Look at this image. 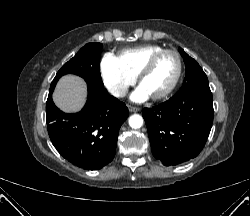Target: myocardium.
I'll use <instances>...</instances> for the list:
<instances>
[{
  "instance_id": "myocardium-1",
  "label": "myocardium",
  "mask_w": 250,
  "mask_h": 216,
  "mask_svg": "<svg viewBox=\"0 0 250 216\" xmlns=\"http://www.w3.org/2000/svg\"><path fill=\"white\" fill-rule=\"evenodd\" d=\"M164 54H172L175 56L176 61H177V71H176V74H175L171 84L168 86V88L165 89L162 93L155 95V96H152L151 98L153 100H161V99L166 98L168 95H170L172 93V91L175 89V87L177 86V84L181 78V75H182L183 63H182V58H181L180 54L174 49H162V50L156 52L155 54H153L149 58V60L146 62V64L143 66L141 71L139 72V74H138L139 84H141L142 80L150 73V71L154 67L156 61Z\"/></svg>"
}]
</instances>
